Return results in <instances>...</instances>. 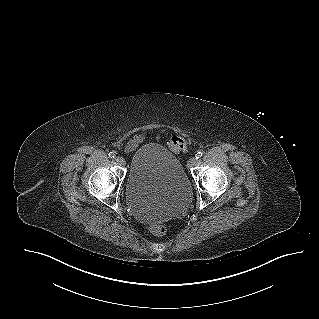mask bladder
<instances>
[{
  "mask_svg": "<svg viewBox=\"0 0 319 319\" xmlns=\"http://www.w3.org/2000/svg\"><path fill=\"white\" fill-rule=\"evenodd\" d=\"M191 195V183L180 160L164 146L146 144L132 152L125 196L138 218L168 219L186 207Z\"/></svg>",
  "mask_w": 319,
  "mask_h": 319,
  "instance_id": "obj_1",
  "label": "bladder"
}]
</instances>
